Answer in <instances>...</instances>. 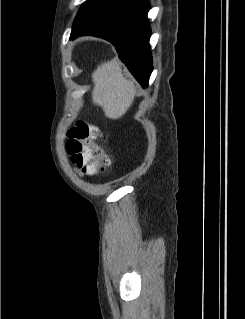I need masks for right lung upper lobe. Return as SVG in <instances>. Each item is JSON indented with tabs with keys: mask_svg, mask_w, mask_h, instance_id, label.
<instances>
[{
	"mask_svg": "<svg viewBox=\"0 0 245 319\" xmlns=\"http://www.w3.org/2000/svg\"><path fill=\"white\" fill-rule=\"evenodd\" d=\"M83 18H84V15L82 13L77 14V16L75 18L74 25H73L72 32H77V31L82 30V29L89 26V25L86 26V25L82 24Z\"/></svg>",
	"mask_w": 245,
	"mask_h": 319,
	"instance_id": "cb5924a9",
	"label": "right lung upper lobe"
}]
</instances>
